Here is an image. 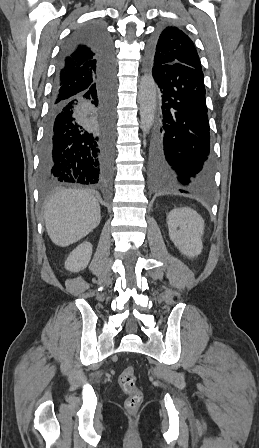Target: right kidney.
<instances>
[{"label": "right kidney", "mask_w": 259, "mask_h": 448, "mask_svg": "<svg viewBox=\"0 0 259 448\" xmlns=\"http://www.w3.org/2000/svg\"><path fill=\"white\" fill-rule=\"evenodd\" d=\"M92 256V244L90 242H83L80 246H77L71 254H69L66 262L65 268L69 272H80L87 268L90 258Z\"/></svg>", "instance_id": "obj_1"}]
</instances>
